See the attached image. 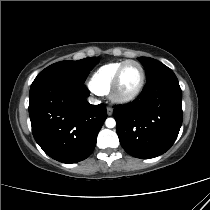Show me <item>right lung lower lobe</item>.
<instances>
[{
	"instance_id": "98d812e1",
	"label": "right lung lower lobe",
	"mask_w": 210,
	"mask_h": 210,
	"mask_svg": "<svg viewBox=\"0 0 210 210\" xmlns=\"http://www.w3.org/2000/svg\"><path fill=\"white\" fill-rule=\"evenodd\" d=\"M84 83L66 78L34 80L29 115L36 142L51 158L76 163L93 152L106 117L104 104L91 105Z\"/></svg>"
}]
</instances>
